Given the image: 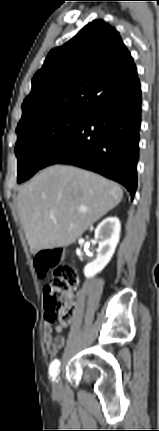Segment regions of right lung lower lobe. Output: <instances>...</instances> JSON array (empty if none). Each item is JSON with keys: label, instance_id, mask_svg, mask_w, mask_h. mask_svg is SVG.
<instances>
[{"label": "right lung lower lobe", "instance_id": "98d812e1", "mask_svg": "<svg viewBox=\"0 0 159 431\" xmlns=\"http://www.w3.org/2000/svg\"><path fill=\"white\" fill-rule=\"evenodd\" d=\"M141 85L137 80L124 91L88 113L43 161L71 164L97 172L125 186L132 199L137 187Z\"/></svg>", "mask_w": 159, "mask_h": 431}]
</instances>
